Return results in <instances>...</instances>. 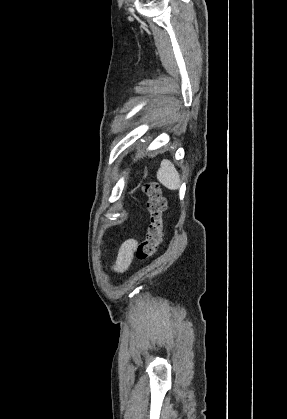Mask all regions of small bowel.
I'll return each instance as SVG.
<instances>
[{
  "mask_svg": "<svg viewBox=\"0 0 287 419\" xmlns=\"http://www.w3.org/2000/svg\"><path fill=\"white\" fill-rule=\"evenodd\" d=\"M137 244V240L128 239L120 246L113 267L116 272L122 273L128 269L132 262Z\"/></svg>",
  "mask_w": 287,
  "mask_h": 419,
  "instance_id": "small-bowel-1",
  "label": "small bowel"
}]
</instances>
